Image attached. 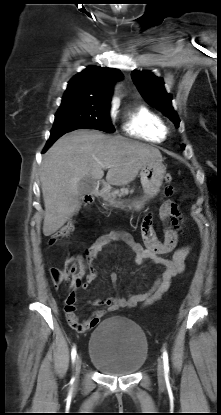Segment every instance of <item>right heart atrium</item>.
I'll return each mask as SVG.
<instances>
[{
  "instance_id": "obj_1",
  "label": "right heart atrium",
  "mask_w": 221,
  "mask_h": 415,
  "mask_svg": "<svg viewBox=\"0 0 221 415\" xmlns=\"http://www.w3.org/2000/svg\"><path fill=\"white\" fill-rule=\"evenodd\" d=\"M114 116V108H111V110H110V117H113Z\"/></svg>"
}]
</instances>
